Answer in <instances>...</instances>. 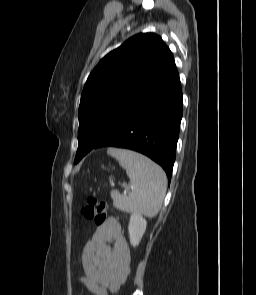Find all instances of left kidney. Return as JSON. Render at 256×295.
Segmentation results:
<instances>
[{"label":"left kidney","mask_w":256,"mask_h":295,"mask_svg":"<svg viewBox=\"0 0 256 295\" xmlns=\"http://www.w3.org/2000/svg\"><path fill=\"white\" fill-rule=\"evenodd\" d=\"M146 226L147 221L145 220V218H143V216L140 213L135 212L131 214L128 230L130 236V243L133 247L137 246L140 243L145 233Z\"/></svg>","instance_id":"left-kidney-1"}]
</instances>
